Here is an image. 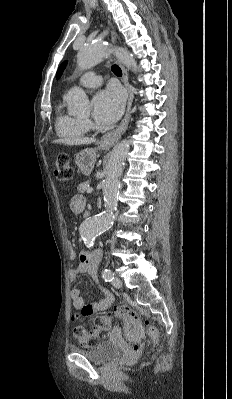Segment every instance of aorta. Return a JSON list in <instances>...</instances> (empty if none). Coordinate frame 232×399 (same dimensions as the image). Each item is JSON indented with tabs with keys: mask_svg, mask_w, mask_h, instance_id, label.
Masks as SVG:
<instances>
[{
	"mask_svg": "<svg viewBox=\"0 0 232 399\" xmlns=\"http://www.w3.org/2000/svg\"><path fill=\"white\" fill-rule=\"evenodd\" d=\"M115 53L118 60L127 68L136 71L137 62L124 48L112 49L97 42L85 45L77 54V64L80 70H87L98 64L110 53ZM68 106L73 111H84L89 107L86 93L79 87L72 88L65 96ZM130 148V141L123 140L113 148L107 164V174L102 182L105 211L87 218L80 226V234L87 247L93 246L95 238L107 231L113 224L114 213L117 209L119 193V177L122 174L124 162Z\"/></svg>",
	"mask_w": 232,
	"mask_h": 399,
	"instance_id": "1",
	"label": "aorta"
}]
</instances>
